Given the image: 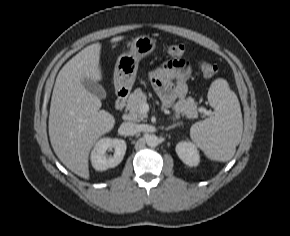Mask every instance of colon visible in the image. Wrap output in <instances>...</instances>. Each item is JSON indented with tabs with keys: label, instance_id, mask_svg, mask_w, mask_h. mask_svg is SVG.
Wrapping results in <instances>:
<instances>
[{
	"label": "colon",
	"instance_id": "colon-1",
	"mask_svg": "<svg viewBox=\"0 0 290 236\" xmlns=\"http://www.w3.org/2000/svg\"><path fill=\"white\" fill-rule=\"evenodd\" d=\"M185 51L183 44H171L166 47V52L171 57H181L185 54ZM199 64L203 75L207 78L214 77L218 73L217 66L205 59H202Z\"/></svg>",
	"mask_w": 290,
	"mask_h": 236
}]
</instances>
